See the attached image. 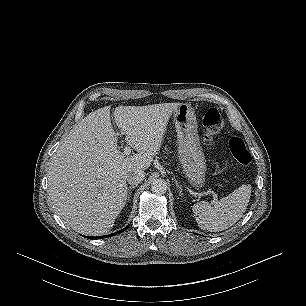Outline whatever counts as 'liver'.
I'll return each instance as SVG.
<instances>
[{"mask_svg":"<svg viewBox=\"0 0 306 306\" xmlns=\"http://www.w3.org/2000/svg\"><path fill=\"white\" fill-rule=\"evenodd\" d=\"M181 103L118 106L113 116L137 153L118 149L110 107L83 118L61 142L48 173L54 210L76 232L102 235L113 227L127 200V176L150 167L172 113Z\"/></svg>","mask_w":306,"mask_h":306,"instance_id":"6515ba94","label":"liver"}]
</instances>
